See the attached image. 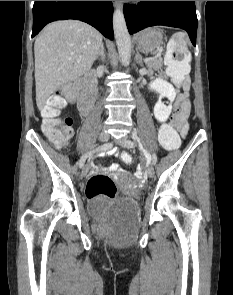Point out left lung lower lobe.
Masks as SVG:
<instances>
[{
	"instance_id": "left-lung-lower-lobe-1",
	"label": "left lung lower lobe",
	"mask_w": 233,
	"mask_h": 295,
	"mask_svg": "<svg viewBox=\"0 0 233 295\" xmlns=\"http://www.w3.org/2000/svg\"><path fill=\"white\" fill-rule=\"evenodd\" d=\"M124 16L130 34L146 27L165 25L186 30L196 46L197 16L194 1H143L124 5Z\"/></svg>"
}]
</instances>
